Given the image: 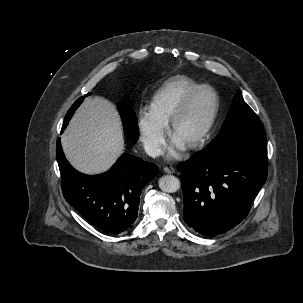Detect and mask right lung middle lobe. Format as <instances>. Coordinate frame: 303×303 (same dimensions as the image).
Masks as SVG:
<instances>
[{"mask_svg":"<svg viewBox=\"0 0 303 303\" xmlns=\"http://www.w3.org/2000/svg\"><path fill=\"white\" fill-rule=\"evenodd\" d=\"M89 94L90 93L86 94L84 97H86ZM84 97H80L78 100H76L74 104L71 106V108L68 110L63 122L62 130L66 128L70 118L72 117L78 106L82 103ZM118 110L122 118L124 132L126 136L130 138L132 141H137L138 129H137L136 118L133 110L130 108L129 105L124 103L119 105Z\"/></svg>","mask_w":303,"mask_h":303,"instance_id":"1","label":"right lung middle lobe"}]
</instances>
